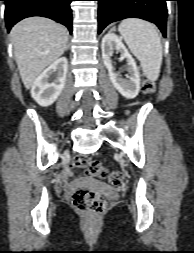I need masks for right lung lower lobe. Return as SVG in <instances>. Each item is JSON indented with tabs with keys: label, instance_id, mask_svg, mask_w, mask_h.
Instances as JSON below:
<instances>
[{
	"label": "right lung lower lobe",
	"instance_id": "98d812e1",
	"mask_svg": "<svg viewBox=\"0 0 194 253\" xmlns=\"http://www.w3.org/2000/svg\"><path fill=\"white\" fill-rule=\"evenodd\" d=\"M5 1V22L8 32L18 21L43 16L65 25L72 33L73 0H3Z\"/></svg>",
	"mask_w": 194,
	"mask_h": 253
}]
</instances>
